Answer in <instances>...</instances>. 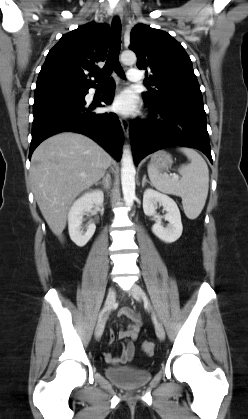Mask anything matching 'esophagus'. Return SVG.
<instances>
[{
	"label": "esophagus",
	"mask_w": 248,
	"mask_h": 419,
	"mask_svg": "<svg viewBox=\"0 0 248 419\" xmlns=\"http://www.w3.org/2000/svg\"><path fill=\"white\" fill-rule=\"evenodd\" d=\"M113 14L122 17V15H123L122 7H120V6L115 7L114 10H113ZM120 123H121L122 129L124 131V134L126 136H128V134H129V121L124 117H120Z\"/></svg>",
	"instance_id": "34e87169"
}]
</instances>
